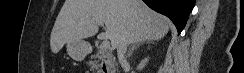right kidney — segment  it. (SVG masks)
<instances>
[{"instance_id": "right-kidney-1", "label": "right kidney", "mask_w": 244, "mask_h": 73, "mask_svg": "<svg viewBox=\"0 0 244 73\" xmlns=\"http://www.w3.org/2000/svg\"><path fill=\"white\" fill-rule=\"evenodd\" d=\"M148 62V58L143 59L140 64L138 65L137 69L142 70Z\"/></svg>"}]
</instances>
